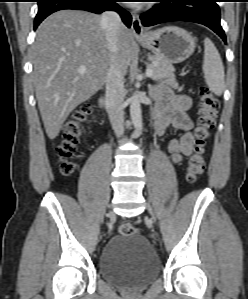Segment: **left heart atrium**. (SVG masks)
Masks as SVG:
<instances>
[{"label": "left heart atrium", "mask_w": 248, "mask_h": 299, "mask_svg": "<svg viewBox=\"0 0 248 299\" xmlns=\"http://www.w3.org/2000/svg\"><path fill=\"white\" fill-rule=\"evenodd\" d=\"M134 3H135L134 5H138V4L142 3V2H134Z\"/></svg>", "instance_id": "1"}]
</instances>
